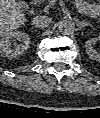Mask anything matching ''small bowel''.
<instances>
[{
  "mask_svg": "<svg viewBox=\"0 0 100 118\" xmlns=\"http://www.w3.org/2000/svg\"><path fill=\"white\" fill-rule=\"evenodd\" d=\"M76 8L85 14H93L98 8L96 3H90L86 0H75Z\"/></svg>",
  "mask_w": 100,
  "mask_h": 118,
  "instance_id": "c3829d8e",
  "label": "small bowel"
}]
</instances>
